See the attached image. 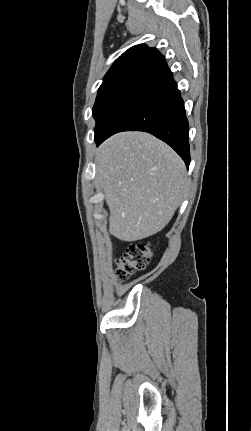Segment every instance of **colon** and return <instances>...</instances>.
Here are the masks:
<instances>
[{
	"label": "colon",
	"mask_w": 251,
	"mask_h": 431,
	"mask_svg": "<svg viewBox=\"0 0 251 431\" xmlns=\"http://www.w3.org/2000/svg\"><path fill=\"white\" fill-rule=\"evenodd\" d=\"M152 249L148 243L139 242L131 244L116 261V273L123 278L143 270L150 263Z\"/></svg>",
	"instance_id": "5ec220e1"
}]
</instances>
